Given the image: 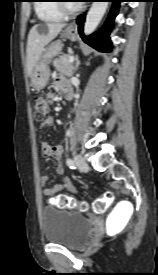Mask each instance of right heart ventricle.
<instances>
[{"label": "right heart ventricle", "instance_id": "e07e8e85", "mask_svg": "<svg viewBox=\"0 0 158 275\" xmlns=\"http://www.w3.org/2000/svg\"><path fill=\"white\" fill-rule=\"evenodd\" d=\"M57 0H40L35 5L37 16L47 22L60 21L63 18V13L58 8Z\"/></svg>", "mask_w": 158, "mask_h": 275}]
</instances>
